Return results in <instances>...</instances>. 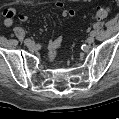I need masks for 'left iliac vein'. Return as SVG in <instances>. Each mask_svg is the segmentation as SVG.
I'll use <instances>...</instances> for the list:
<instances>
[{"label": "left iliac vein", "mask_w": 119, "mask_h": 119, "mask_svg": "<svg viewBox=\"0 0 119 119\" xmlns=\"http://www.w3.org/2000/svg\"><path fill=\"white\" fill-rule=\"evenodd\" d=\"M94 41H95V38H94V36H89L88 38H87V40H86V42L88 43V44H92V43H94Z\"/></svg>", "instance_id": "left-iliac-vein-1"}]
</instances>
